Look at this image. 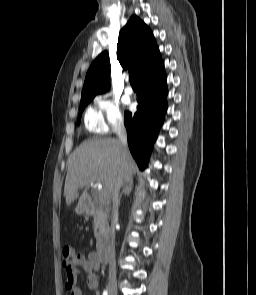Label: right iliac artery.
<instances>
[{
  "label": "right iliac artery",
  "instance_id": "1",
  "mask_svg": "<svg viewBox=\"0 0 256 295\" xmlns=\"http://www.w3.org/2000/svg\"><path fill=\"white\" fill-rule=\"evenodd\" d=\"M103 295H108L107 290H104V291H103Z\"/></svg>",
  "mask_w": 256,
  "mask_h": 295
}]
</instances>
